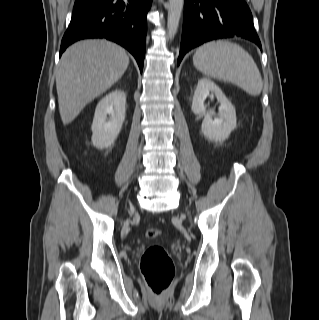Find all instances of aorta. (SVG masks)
Segmentation results:
<instances>
[{"label":"aorta","instance_id":"obj_1","mask_svg":"<svg viewBox=\"0 0 319 320\" xmlns=\"http://www.w3.org/2000/svg\"><path fill=\"white\" fill-rule=\"evenodd\" d=\"M183 5L184 0H169L167 31L170 39L175 36L178 30Z\"/></svg>","mask_w":319,"mask_h":320}]
</instances>
